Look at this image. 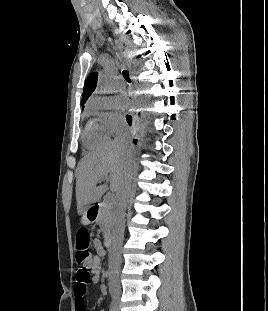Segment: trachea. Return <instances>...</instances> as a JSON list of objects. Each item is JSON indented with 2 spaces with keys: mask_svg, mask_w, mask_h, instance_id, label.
<instances>
[{
  "mask_svg": "<svg viewBox=\"0 0 268 311\" xmlns=\"http://www.w3.org/2000/svg\"><path fill=\"white\" fill-rule=\"evenodd\" d=\"M123 77L127 82H131L130 77H129V72L127 70L123 71Z\"/></svg>",
  "mask_w": 268,
  "mask_h": 311,
  "instance_id": "trachea-1",
  "label": "trachea"
}]
</instances>
